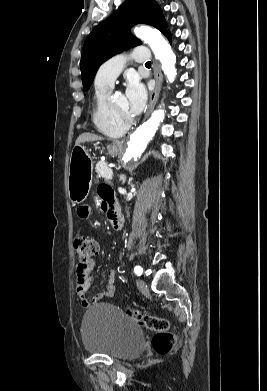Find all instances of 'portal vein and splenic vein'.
Listing matches in <instances>:
<instances>
[{"label": "portal vein and splenic vein", "instance_id": "obj_1", "mask_svg": "<svg viewBox=\"0 0 267 391\" xmlns=\"http://www.w3.org/2000/svg\"><path fill=\"white\" fill-rule=\"evenodd\" d=\"M115 165H113V164H110L109 165V168L111 169V168H113Z\"/></svg>", "mask_w": 267, "mask_h": 391}]
</instances>
